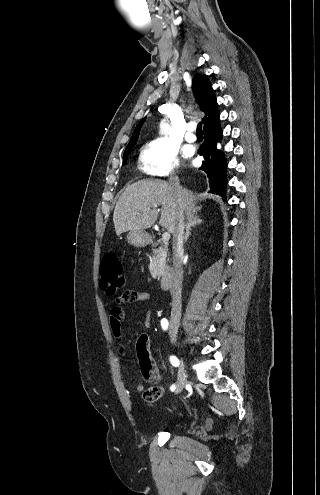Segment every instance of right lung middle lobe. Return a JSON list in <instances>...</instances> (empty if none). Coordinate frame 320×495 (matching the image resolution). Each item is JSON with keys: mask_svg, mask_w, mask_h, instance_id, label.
<instances>
[{"mask_svg": "<svg viewBox=\"0 0 320 495\" xmlns=\"http://www.w3.org/2000/svg\"><path fill=\"white\" fill-rule=\"evenodd\" d=\"M131 149L132 148L125 150L124 155H123V164H126L127 157H128V154L130 153Z\"/></svg>", "mask_w": 320, "mask_h": 495, "instance_id": "dd1d6c3e", "label": "right lung middle lobe"}]
</instances>
